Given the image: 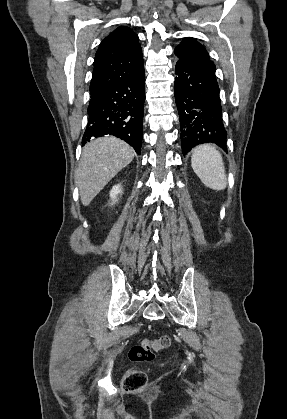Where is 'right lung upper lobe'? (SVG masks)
Listing matches in <instances>:
<instances>
[{
	"label": "right lung upper lobe",
	"instance_id": "1",
	"mask_svg": "<svg viewBox=\"0 0 287 419\" xmlns=\"http://www.w3.org/2000/svg\"><path fill=\"white\" fill-rule=\"evenodd\" d=\"M93 65L90 94L136 74L144 66L138 36L128 27H118L101 42Z\"/></svg>",
	"mask_w": 287,
	"mask_h": 419
}]
</instances>
